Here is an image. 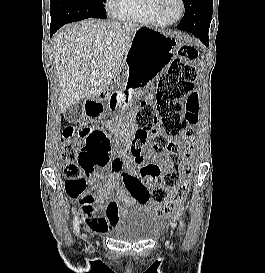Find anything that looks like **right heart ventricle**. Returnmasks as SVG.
<instances>
[{"mask_svg": "<svg viewBox=\"0 0 265 273\" xmlns=\"http://www.w3.org/2000/svg\"><path fill=\"white\" fill-rule=\"evenodd\" d=\"M121 20H127L154 27H166L156 11V0H121L115 14Z\"/></svg>", "mask_w": 265, "mask_h": 273, "instance_id": "right-heart-ventricle-1", "label": "right heart ventricle"}]
</instances>
